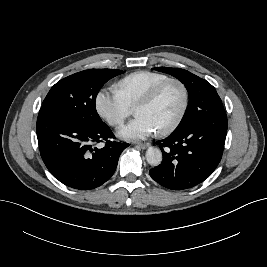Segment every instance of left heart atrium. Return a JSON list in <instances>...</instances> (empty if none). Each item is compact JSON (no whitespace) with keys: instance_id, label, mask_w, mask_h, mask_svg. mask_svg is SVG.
<instances>
[{"instance_id":"1","label":"left heart atrium","mask_w":267,"mask_h":267,"mask_svg":"<svg viewBox=\"0 0 267 267\" xmlns=\"http://www.w3.org/2000/svg\"><path fill=\"white\" fill-rule=\"evenodd\" d=\"M157 131L152 121L143 115L136 116L131 122L120 129L119 136L125 139H145Z\"/></svg>"}]
</instances>
